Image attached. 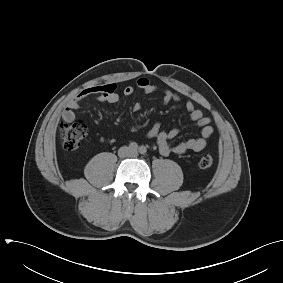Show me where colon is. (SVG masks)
Here are the masks:
<instances>
[{
	"instance_id": "colon-1",
	"label": "colon",
	"mask_w": 283,
	"mask_h": 283,
	"mask_svg": "<svg viewBox=\"0 0 283 283\" xmlns=\"http://www.w3.org/2000/svg\"><path fill=\"white\" fill-rule=\"evenodd\" d=\"M87 126L81 121L65 122L62 123L59 128L60 138L62 144L66 150H75L79 147L80 142L86 136ZM214 164L213 157L208 154H204L199 159L200 168L206 169L212 167Z\"/></svg>"
}]
</instances>
